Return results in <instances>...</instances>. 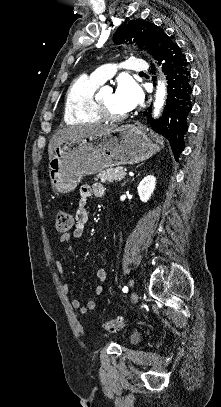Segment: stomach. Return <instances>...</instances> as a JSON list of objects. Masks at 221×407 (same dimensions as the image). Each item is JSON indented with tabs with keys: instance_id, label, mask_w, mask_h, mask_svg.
Returning a JSON list of instances; mask_svg holds the SVG:
<instances>
[{
	"instance_id": "obj_1",
	"label": "stomach",
	"mask_w": 221,
	"mask_h": 407,
	"mask_svg": "<svg viewBox=\"0 0 221 407\" xmlns=\"http://www.w3.org/2000/svg\"><path fill=\"white\" fill-rule=\"evenodd\" d=\"M161 145L163 141L147 135L141 125H123L94 137L66 141L49 159L52 187L59 193L71 192L84 176L108 167L145 161Z\"/></svg>"
}]
</instances>
